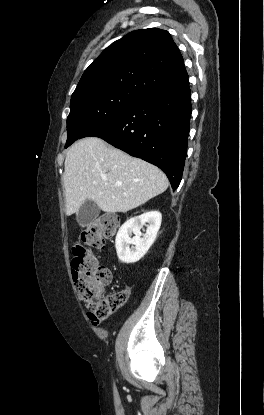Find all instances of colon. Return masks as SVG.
Listing matches in <instances>:
<instances>
[{
  "label": "colon",
  "mask_w": 264,
  "mask_h": 415,
  "mask_svg": "<svg viewBox=\"0 0 264 415\" xmlns=\"http://www.w3.org/2000/svg\"><path fill=\"white\" fill-rule=\"evenodd\" d=\"M119 224L117 214H106L88 224L81 241L73 248L71 270L78 274L77 291L90 320L101 323L127 300L128 291L107 294L112 278L111 269L98 264L95 250L104 247L106 239L114 237Z\"/></svg>",
  "instance_id": "1"
}]
</instances>
